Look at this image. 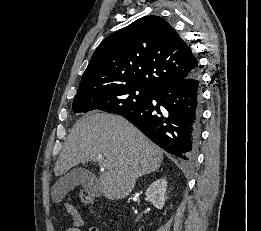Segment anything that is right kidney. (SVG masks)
<instances>
[{"label": "right kidney", "instance_id": "1", "mask_svg": "<svg viewBox=\"0 0 261 231\" xmlns=\"http://www.w3.org/2000/svg\"><path fill=\"white\" fill-rule=\"evenodd\" d=\"M167 189V181L165 179H158L154 181L146 190V196L149 201L157 209H162L165 204V193Z\"/></svg>", "mask_w": 261, "mask_h": 231}]
</instances>
